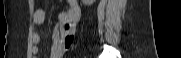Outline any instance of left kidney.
I'll return each instance as SVG.
<instances>
[{
  "label": "left kidney",
  "instance_id": "left-kidney-1",
  "mask_svg": "<svg viewBox=\"0 0 181 58\" xmlns=\"http://www.w3.org/2000/svg\"><path fill=\"white\" fill-rule=\"evenodd\" d=\"M96 0H82L83 4L86 6H91Z\"/></svg>",
  "mask_w": 181,
  "mask_h": 58
}]
</instances>
